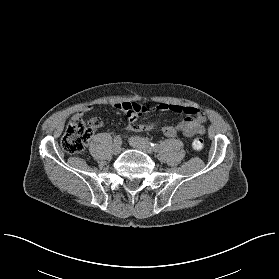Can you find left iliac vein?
<instances>
[{
	"label": "left iliac vein",
	"instance_id": "obj_1",
	"mask_svg": "<svg viewBox=\"0 0 279 279\" xmlns=\"http://www.w3.org/2000/svg\"><path fill=\"white\" fill-rule=\"evenodd\" d=\"M129 143L135 149L143 151L149 155L153 154V150H152L150 144L145 142V140L143 138L136 137V136L130 137Z\"/></svg>",
	"mask_w": 279,
	"mask_h": 279
}]
</instances>
